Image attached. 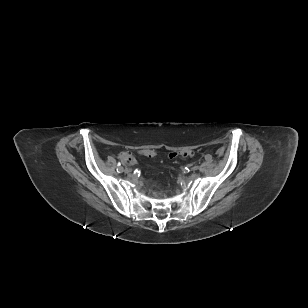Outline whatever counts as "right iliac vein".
Masks as SVG:
<instances>
[{"mask_svg": "<svg viewBox=\"0 0 308 308\" xmlns=\"http://www.w3.org/2000/svg\"><path fill=\"white\" fill-rule=\"evenodd\" d=\"M125 173H130V169L126 168L125 170H123Z\"/></svg>", "mask_w": 308, "mask_h": 308, "instance_id": "1", "label": "right iliac vein"}]
</instances>
